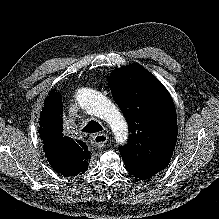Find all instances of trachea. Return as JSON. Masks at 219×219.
Returning <instances> with one entry per match:
<instances>
[{"label": "trachea", "instance_id": "trachea-1", "mask_svg": "<svg viewBox=\"0 0 219 219\" xmlns=\"http://www.w3.org/2000/svg\"><path fill=\"white\" fill-rule=\"evenodd\" d=\"M103 130L102 126L94 121L91 120L87 123V125L82 129V132H86V133H97V132H101Z\"/></svg>", "mask_w": 219, "mask_h": 219}]
</instances>
